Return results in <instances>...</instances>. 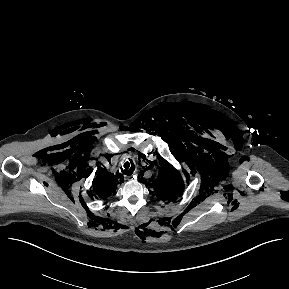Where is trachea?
<instances>
[{
    "label": "trachea",
    "instance_id": "trachea-1",
    "mask_svg": "<svg viewBox=\"0 0 289 289\" xmlns=\"http://www.w3.org/2000/svg\"><path fill=\"white\" fill-rule=\"evenodd\" d=\"M124 170L122 169V173L125 174V175H131L134 171V164L132 163V161L130 162H126L124 164Z\"/></svg>",
    "mask_w": 289,
    "mask_h": 289
}]
</instances>
